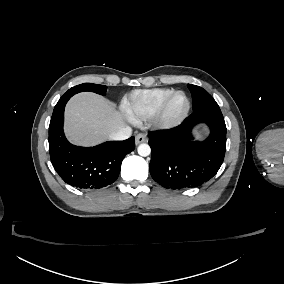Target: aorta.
Here are the masks:
<instances>
[{
    "label": "aorta",
    "mask_w": 284,
    "mask_h": 284,
    "mask_svg": "<svg viewBox=\"0 0 284 284\" xmlns=\"http://www.w3.org/2000/svg\"><path fill=\"white\" fill-rule=\"evenodd\" d=\"M137 151H138V154L142 157H146L148 155H150L151 153V148L148 144L146 143H143V144H140L137 148Z\"/></svg>",
    "instance_id": "obj_1"
}]
</instances>
